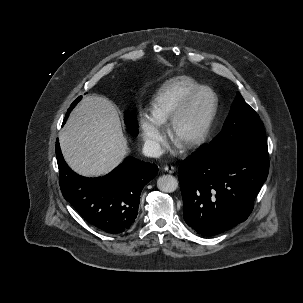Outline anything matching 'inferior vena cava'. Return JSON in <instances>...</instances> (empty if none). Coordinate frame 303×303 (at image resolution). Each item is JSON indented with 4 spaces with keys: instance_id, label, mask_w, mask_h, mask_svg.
I'll return each mask as SVG.
<instances>
[{
    "instance_id": "obj_1",
    "label": "inferior vena cava",
    "mask_w": 303,
    "mask_h": 303,
    "mask_svg": "<svg viewBox=\"0 0 303 303\" xmlns=\"http://www.w3.org/2000/svg\"><path fill=\"white\" fill-rule=\"evenodd\" d=\"M143 153L149 157H159L163 154V150L158 142L147 140L143 146Z\"/></svg>"
}]
</instances>
